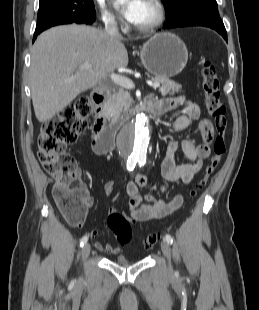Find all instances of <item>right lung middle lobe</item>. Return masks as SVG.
<instances>
[{"instance_id": "obj_1", "label": "right lung middle lobe", "mask_w": 259, "mask_h": 310, "mask_svg": "<svg viewBox=\"0 0 259 310\" xmlns=\"http://www.w3.org/2000/svg\"><path fill=\"white\" fill-rule=\"evenodd\" d=\"M95 14L91 0H39L36 29L53 20L80 21Z\"/></svg>"}]
</instances>
